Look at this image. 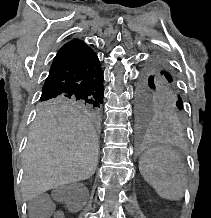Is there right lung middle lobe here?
Instances as JSON below:
<instances>
[{
	"mask_svg": "<svg viewBox=\"0 0 211 218\" xmlns=\"http://www.w3.org/2000/svg\"><path fill=\"white\" fill-rule=\"evenodd\" d=\"M39 107L40 109L47 110L60 106L66 105H78L83 106L92 113H98L100 110L101 104L89 99H80L74 97H50V98H40Z\"/></svg>",
	"mask_w": 211,
	"mask_h": 218,
	"instance_id": "obj_1",
	"label": "right lung middle lobe"
}]
</instances>
